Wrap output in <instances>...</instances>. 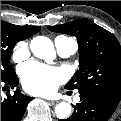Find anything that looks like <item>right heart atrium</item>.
Wrapping results in <instances>:
<instances>
[{
  "label": "right heart atrium",
  "instance_id": "d8ad5b80",
  "mask_svg": "<svg viewBox=\"0 0 121 121\" xmlns=\"http://www.w3.org/2000/svg\"><path fill=\"white\" fill-rule=\"evenodd\" d=\"M29 54L28 43L25 41L18 42L14 48L12 57L15 62L24 60Z\"/></svg>",
  "mask_w": 121,
  "mask_h": 121
}]
</instances>
